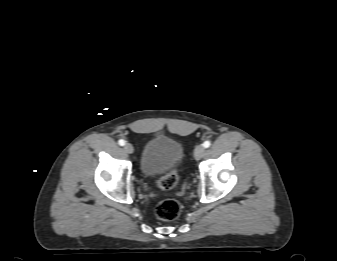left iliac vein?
I'll list each match as a JSON object with an SVG mask.
<instances>
[{
  "label": "left iliac vein",
  "mask_w": 337,
  "mask_h": 261,
  "mask_svg": "<svg viewBox=\"0 0 337 261\" xmlns=\"http://www.w3.org/2000/svg\"><path fill=\"white\" fill-rule=\"evenodd\" d=\"M205 153V148L202 145H198L194 150V157L196 160H199L203 157Z\"/></svg>",
  "instance_id": "1"
}]
</instances>
